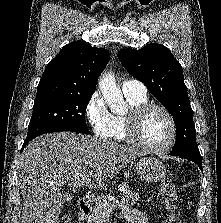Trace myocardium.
<instances>
[{"label":"myocardium","instance_id":"1","mask_svg":"<svg viewBox=\"0 0 221 223\" xmlns=\"http://www.w3.org/2000/svg\"><path fill=\"white\" fill-rule=\"evenodd\" d=\"M157 109L162 111L168 118L171 127V136L168 142L162 146H152L143 142L139 137V127L144 115L152 110ZM126 137L133 145L150 152H164L170 149L176 142L178 136L177 124L173 114L165 106L158 103H143L133 107L128 114L126 122Z\"/></svg>","mask_w":221,"mask_h":223}]
</instances>
